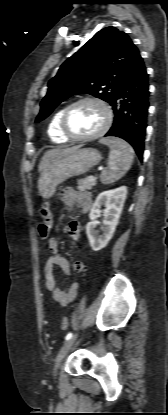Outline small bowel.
<instances>
[{
	"label": "small bowel",
	"mask_w": 168,
	"mask_h": 415,
	"mask_svg": "<svg viewBox=\"0 0 168 415\" xmlns=\"http://www.w3.org/2000/svg\"><path fill=\"white\" fill-rule=\"evenodd\" d=\"M60 199L69 211L78 208L82 212H87L91 206V197L87 192L77 191L70 187L62 189L60 192ZM66 229L75 242L80 239L81 228L78 222L70 221L67 224ZM48 248L51 255L44 265L45 285L57 303L62 306H67L75 299L79 290V285L78 283H73L66 291L57 286L54 276V267H58L63 273L70 275V264L66 258L60 255L59 244L55 238L49 240ZM74 269L79 273H83L86 271V264L78 261L74 264Z\"/></svg>",
	"instance_id": "1"
}]
</instances>
